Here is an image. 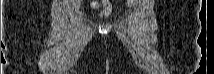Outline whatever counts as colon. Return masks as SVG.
Listing matches in <instances>:
<instances>
[{"label": "colon", "mask_w": 214, "mask_h": 74, "mask_svg": "<svg viewBox=\"0 0 214 74\" xmlns=\"http://www.w3.org/2000/svg\"><path fill=\"white\" fill-rule=\"evenodd\" d=\"M94 5L96 7L101 6V10H100L101 16H107L112 12L111 2L108 0H102V1L95 2Z\"/></svg>", "instance_id": "colon-1"}]
</instances>
